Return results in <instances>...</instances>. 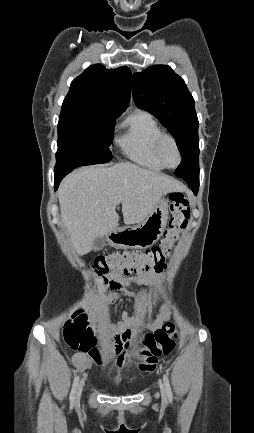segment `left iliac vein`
Instances as JSON below:
<instances>
[{
	"mask_svg": "<svg viewBox=\"0 0 254 433\" xmlns=\"http://www.w3.org/2000/svg\"><path fill=\"white\" fill-rule=\"evenodd\" d=\"M160 392L163 400H166V390L161 381H159Z\"/></svg>",
	"mask_w": 254,
	"mask_h": 433,
	"instance_id": "4c4485c4",
	"label": "left iliac vein"
}]
</instances>
